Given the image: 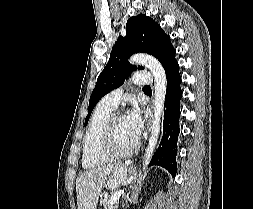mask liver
<instances>
[{"label":"liver","instance_id":"liver-1","mask_svg":"<svg viewBox=\"0 0 253 209\" xmlns=\"http://www.w3.org/2000/svg\"><path fill=\"white\" fill-rule=\"evenodd\" d=\"M127 177L124 166L107 164L83 172L77 177V208L97 209L98 199L102 188L109 183L116 188Z\"/></svg>","mask_w":253,"mask_h":209}]
</instances>
